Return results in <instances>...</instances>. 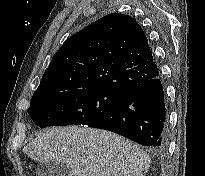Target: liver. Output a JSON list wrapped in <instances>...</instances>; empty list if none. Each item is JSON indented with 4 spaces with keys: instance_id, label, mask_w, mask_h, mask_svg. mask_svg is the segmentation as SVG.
<instances>
[{
    "instance_id": "1",
    "label": "liver",
    "mask_w": 205,
    "mask_h": 176,
    "mask_svg": "<svg viewBox=\"0 0 205 176\" xmlns=\"http://www.w3.org/2000/svg\"><path fill=\"white\" fill-rule=\"evenodd\" d=\"M23 152L34 161L66 164L70 176H145L151 164L150 156L132 141L88 127L46 129Z\"/></svg>"
}]
</instances>
